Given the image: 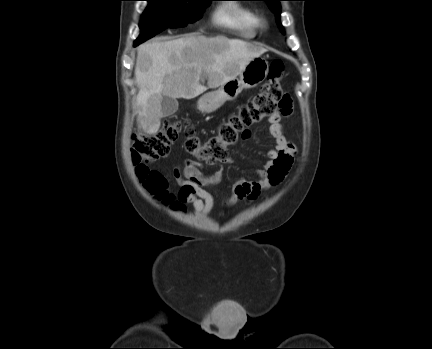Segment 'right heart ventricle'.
Instances as JSON below:
<instances>
[{
  "instance_id": "e07e8e85",
  "label": "right heart ventricle",
  "mask_w": 432,
  "mask_h": 349,
  "mask_svg": "<svg viewBox=\"0 0 432 349\" xmlns=\"http://www.w3.org/2000/svg\"><path fill=\"white\" fill-rule=\"evenodd\" d=\"M216 23L223 25L243 38H252L256 35L260 25L257 13L241 5H228L215 14Z\"/></svg>"
}]
</instances>
